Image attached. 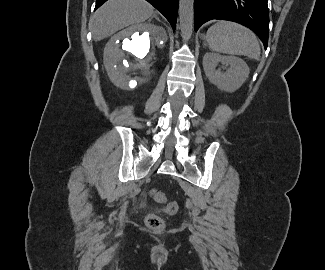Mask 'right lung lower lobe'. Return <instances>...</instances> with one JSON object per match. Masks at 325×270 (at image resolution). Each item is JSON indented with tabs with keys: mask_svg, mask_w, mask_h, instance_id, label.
Masks as SVG:
<instances>
[{
	"mask_svg": "<svg viewBox=\"0 0 325 270\" xmlns=\"http://www.w3.org/2000/svg\"><path fill=\"white\" fill-rule=\"evenodd\" d=\"M107 0H96V7H100ZM151 3L158 11H160L171 24L173 31L176 28V20L178 13V0H146Z\"/></svg>",
	"mask_w": 325,
	"mask_h": 270,
	"instance_id": "obj_1",
	"label": "right lung lower lobe"
}]
</instances>
